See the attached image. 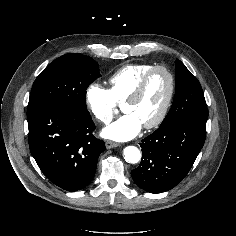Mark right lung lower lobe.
<instances>
[{"mask_svg":"<svg viewBox=\"0 0 236 236\" xmlns=\"http://www.w3.org/2000/svg\"><path fill=\"white\" fill-rule=\"evenodd\" d=\"M27 120L29 148L43 174L66 191L85 188L106 149L92 134L89 112L45 105L29 108Z\"/></svg>","mask_w":236,"mask_h":236,"instance_id":"right-lung-lower-lobe-1","label":"right lung lower lobe"}]
</instances>
